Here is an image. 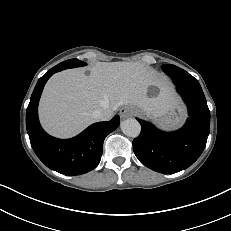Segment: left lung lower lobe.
Here are the masks:
<instances>
[{"label": "left lung lower lobe", "instance_id": "obj_1", "mask_svg": "<svg viewBox=\"0 0 231 231\" xmlns=\"http://www.w3.org/2000/svg\"><path fill=\"white\" fill-rule=\"evenodd\" d=\"M174 81L188 108L185 125L174 132H163L138 119L140 135L133 140L136 157L146 167L164 174L188 168L203 152L210 131V111L199 82L185 70L163 69Z\"/></svg>", "mask_w": 231, "mask_h": 231}]
</instances>
